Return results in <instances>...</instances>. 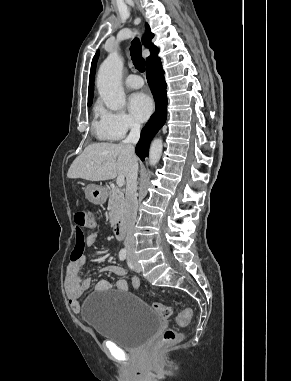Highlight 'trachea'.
<instances>
[{"mask_svg":"<svg viewBox=\"0 0 291 381\" xmlns=\"http://www.w3.org/2000/svg\"><path fill=\"white\" fill-rule=\"evenodd\" d=\"M130 50H131V59L133 61L135 68L139 70L140 72H144L145 62L141 55V44L138 38L133 39Z\"/></svg>","mask_w":291,"mask_h":381,"instance_id":"3493384b","label":"trachea"}]
</instances>
